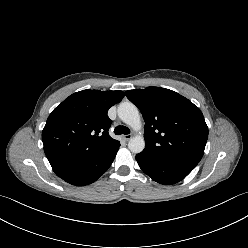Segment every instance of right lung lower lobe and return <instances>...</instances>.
I'll return each instance as SVG.
<instances>
[{
  "label": "right lung lower lobe",
  "instance_id": "1",
  "mask_svg": "<svg viewBox=\"0 0 248 248\" xmlns=\"http://www.w3.org/2000/svg\"><path fill=\"white\" fill-rule=\"evenodd\" d=\"M120 143L111 149L87 159L50 160L54 172L64 181L83 186L96 181L112 164Z\"/></svg>",
  "mask_w": 248,
  "mask_h": 248
}]
</instances>
